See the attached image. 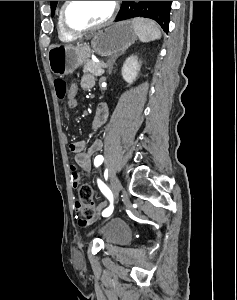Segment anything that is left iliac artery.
I'll return each instance as SVG.
<instances>
[{
    "instance_id": "1",
    "label": "left iliac artery",
    "mask_w": 237,
    "mask_h": 300,
    "mask_svg": "<svg viewBox=\"0 0 237 300\" xmlns=\"http://www.w3.org/2000/svg\"><path fill=\"white\" fill-rule=\"evenodd\" d=\"M103 160H104V158H103L102 155L96 156L95 159H94V165H95L96 167H98L99 165L102 164ZM105 172L108 173V169H106ZM97 182H98V187H99V189L101 190V192H102V193L110 200V202H111V205H110L107 209H105V210L102 212V216H103V217H108V216H110L111 213L113 212V205H112V202H113V196H112V193H111L110 189H109V188H108V187H107L100 179H98Z\"/></svg>"
}]
</instances>
